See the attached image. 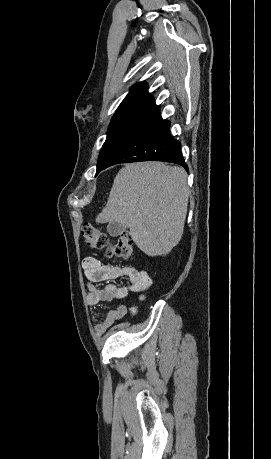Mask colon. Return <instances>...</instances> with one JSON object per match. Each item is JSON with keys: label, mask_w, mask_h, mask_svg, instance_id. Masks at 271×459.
<instances>
[{"label": "colon", "mask_w": 271, "mask_h": 459, "mask_svg": "<svg viewBox=\"0 0 271 459\" xmlns=\"http://www.w3.org/2000/svg\"><path fill=\"white\" fill-rule=\"evenodd\" d=\"M84 243L91 249L104 250L110 258L128 260L133 257L134 249L131 235L122 233L112 244H109L107 235L97 227L86 224L82 227Z\"/></svg>", "instance_id": "1"}]
</instances>
